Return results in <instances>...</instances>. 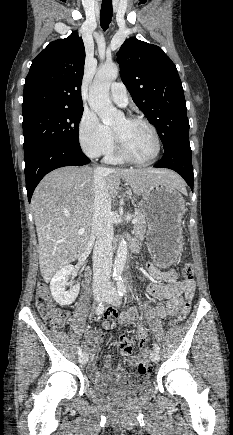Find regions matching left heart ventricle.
<instances>
[{"label":"left heart ventricle","instance_id":"b2bd125f","mask_svg":"<svg viewBox=\"0 0 233 435\" xmlns=\"http://www.w3.org/2000/svg\"><path fill=\"white\" fill-rule=\"evenodd\" d=\"M112 129L132 157L141 161L152 158L155 152V141L146 125L140 122H129L122 118L112 126Z\"/></svg>","mask_w":233,"mask_h":435}]
</instances>
